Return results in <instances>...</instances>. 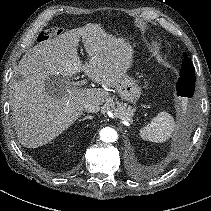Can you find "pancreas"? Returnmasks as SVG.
Instances as JSON below:
<instances>
[{
	"instance_id": "1",
	"label": "pancreas",
	"mask_w": 211,
	"mask_h": 211,
	"mask_svg": "<svg viewBox=\"0 0 211 211\" xmlns=\"http://www.w3.org/2000/svg\"><path fill=\"white\" fill-rule=\"evenodd\" d=\"M105 107L110 109L115 118L131 122L135 109L127 106L125 103L119 102L113 97H109L105 101Z\"/></svg>"
}]
</instances>
